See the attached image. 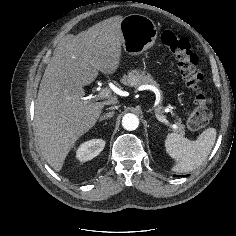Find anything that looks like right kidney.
<instances>
[{
  "mask_svg": "<svg viewBox=\"0 0 236 236\" xmlns=\"http://www.w3.org/2000/svg\"><path fill=\"white\" fill-rule=\"evenodd\" d=\"M105 147V141L102 139H93L80 145L76 151V157L81 162L96 157Z\"/></svg>",
  "mask_w": 236,
  "mask_h": 236,
  "instance_id": "ca27d5eb",
  "label": "right kidney"
}]
</instances>
